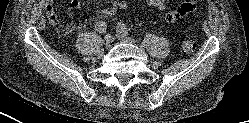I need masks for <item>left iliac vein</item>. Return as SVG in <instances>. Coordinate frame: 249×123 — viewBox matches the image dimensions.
<instances>
[{"instance_id": "4c4485c4", "label": "left iliac vein", "mask_w": 249, "mask_h": 123, "mask_svg": "<svg viewBox=\"0 0 249 123\" xmlns=\"http://www.w3.org/2000/svg\"><path fill=\"white\" fill-rule=\"evenodd\" d=\"M117 37L122 41V42H126V43H131L134 44L135 40L129 36H127L124 33H121L119 31H117Z\"/></svg>"}]
</instances>
